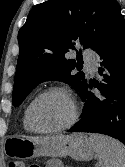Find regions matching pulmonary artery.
Returning a JSON list of instances; mask_svg holds the SVG:
<instances>
[{
	"mask_svg": "<svg viewBox=\"0 0 125 167\" xmlns=\"http://www.w3.org/2000/svg\"><path fill=\"white\" fill-rule=\"evenodd\" d=\"M85 60H86L87 65L90 67V70L92 72H95L96 71V67H95L96 56L90 52H86Z\"/></svg>",
	"mask_w": 125,
	"mask_h": 167,
	"instance_id": "e3ab8cb5",
	"label": "pulmonary artery"
}]
</instances>
